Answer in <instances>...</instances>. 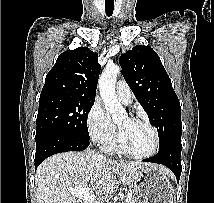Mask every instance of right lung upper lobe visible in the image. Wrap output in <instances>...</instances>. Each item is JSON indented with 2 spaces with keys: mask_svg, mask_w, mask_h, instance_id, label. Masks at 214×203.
Listing matches in <instances>:
<instances>
[{
  "mask_svg": "<svg viewBox=\"0 0 214 203\" xmlns=\"http://www.w3.org/2000/svg\"><path fill=\"white\" fill-rule=\"evenodd\" d=\"M100 69L98 54L88 47L65 51L47 74L40 99L54 96L95 99Z\"/></svg>",
  "mask_w": 214,
  "mask_h": 203,
  "instance_id": "obj_1",
  "label": "right lung upper lobe"
}]
</instances>
